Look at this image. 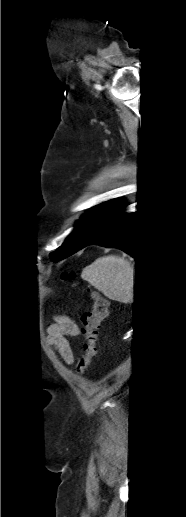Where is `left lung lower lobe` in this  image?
<instances>
[{
	"instance_id": "1",
	"label": "left lung lower lobe",
	"mask_w": 186,
	"mask_h": 517,
	"mask_svg": "<svg viewBox=\"0 0 186 517\" xmlns=\"http://www.w3.org/2000/svg\"><path fill=\"white\" fill-rule=\"evenodd\" d=\"M124 206L122 201H117L95 224L90 239L82 248L90 244L119 248L138 260L139 251L134 241L132 214L123 213Z\"/></svg>"
}]
</instances>
